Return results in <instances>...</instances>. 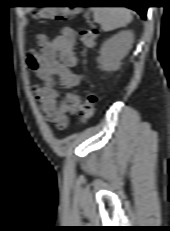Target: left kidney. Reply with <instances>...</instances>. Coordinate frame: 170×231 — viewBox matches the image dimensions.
Instances as JSON below:
<instances>
[{
  "label": "left kidney",
  "mask_w": 170,
  "mask_h": 231,
  "mask_svg": "<svg viewBox=\"0 0 170 231\" xmlns=\"http://www.w3.org/2000/svg\"><path fill=\"white\" fill-rule=\"evenodd\" d=\"M134 35L132 31L124 30L106 40L101 47L97 62L102 70L115 71L121 65V60L132 47Z\"/></svg>",
  "instance_id": "1"
}]
</instances>
